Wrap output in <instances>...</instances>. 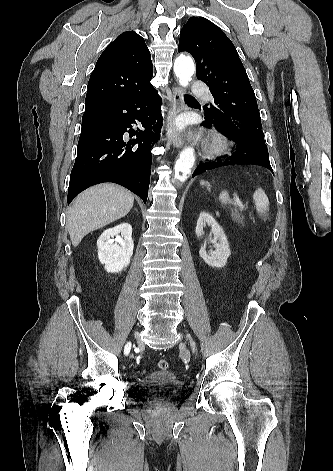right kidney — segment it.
I'll use <instances>...</instances> for the list:
<instances>
[{"label":"right kidney","mask_w":333,"mask_h":471,"mask_svg":"<svg viewBox=\"0 0 333 471\" xmlns=\"http://www.w3.org/2000/svg\"><path fill=\"white\" fill-rule=\"evenodd\" d=\"M115 237V239H114ZM98 258L107 272L119 273L130 264L134 244L132 227L122 223L105 230L97 240Z\"/></svg>","instance_id":"1"}]
</instances>
